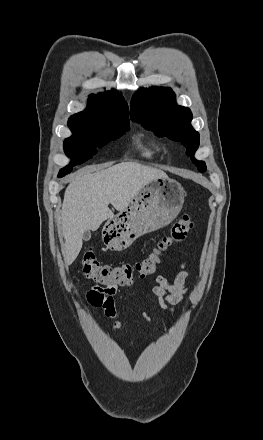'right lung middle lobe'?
<instances>
[{
	"label": "right lung middle lobe",
	"mask_w": 263,
	"mask_h": 440,
	"mask_svg": "<svg viewBox=\"0 0 263 440\" xmlns=\"http://www.w3.org/2000/svg\"><path fill=\"white\" fill-rule=\"evenodd\" d=\"M73 136L64 141V151L72 158L68 167L60 170L58 177L72 171L71 166L87 161L96 154V146L102 147L129 130L128 117L111 116L96 118L82 127H70Z\"/></svg>",
	"instance_id": "dd1d6c3e"
}]
</instances>
